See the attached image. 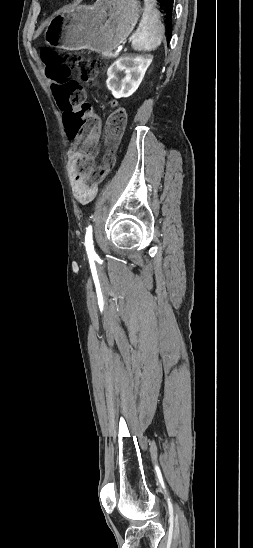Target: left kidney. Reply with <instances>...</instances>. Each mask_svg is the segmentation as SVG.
Wrapping results in <instances>:
<instances>
[{
    "instance_id": "5707ae66",
    "label": "left kidney",
    "mask_w": 253,
    "mask_h": 548,
    "mask_svg": "<svg viewBox=\"0 0 253 548\" xmlns=\"http://www.w3.org/2000/svg\"><path fill=\"white\" fill-rule=\"evenodd\" d=\"M152 62V56H122L107 71L106 85L115 98L131 96L139 87L145 72ZM124 71V78L119 73Z\"/></svg>"
}]
</instances>
